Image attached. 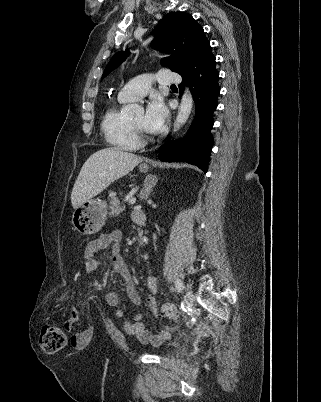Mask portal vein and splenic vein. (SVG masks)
I'll list each match as a JSON object with an SVG mask.
<instances>
[{
    "instance_id": "18ae733b",
    "label": "portal vein and splenic vein",
    "mask_w": 321,
    "mask_h": 402,
    "mask_svg": "<svg viewBox=\"0 0 321 402\" xmlns=\"http://www.w3.org/2000/svg\"><path fill=\"white\" fill-rule=\"evenodd\" d=\"M128 200L129 204H135L136 203V198L135 197H130Z\"/></svg>"
}]
</instances>
